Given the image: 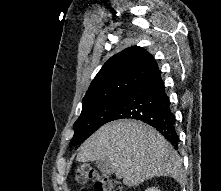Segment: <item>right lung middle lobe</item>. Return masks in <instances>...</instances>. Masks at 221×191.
Here are the masks:
<instances>
[{"mask_svg":"<svg viewBox=\"0 0 221 191\" xmlns=\"http://www.w3.org/2000/svg\"><path fill=\"white\" fill-rule=\"evenodd\" d=\"M124 96L82 107L80 117L73 125L74 136L70 146L84 142L103 124L107 123Z\"/></svg>","mask_w":221,"mask_h":191,"instance_id":"right-lung-middle-lobe-1","label":"right lung middle lobe"}]
</instances>
